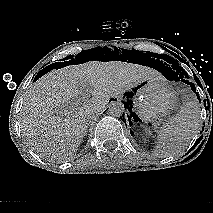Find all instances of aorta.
<instances>
[{
    "mask_svg": "<svg viewBox=\"0 0 213 213\" xmlns=\"http://www.w3.org/2000/svg\"><path fill=\"white\" fill-rule=\"evenodd\" d=\"M108 112L113 117H120L124 112V105L120 101H113L109 105Z\"/></svg>",
    "mask_w": 213,
    "mask_h": 213,
    "instance_id": "1",
    "label": "aorta"
}]
</instances>
